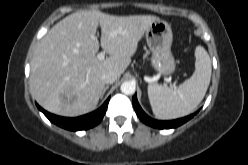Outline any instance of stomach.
I'll return each mask as SVG.
<instances>
[{"instance_id":"0dacf381","label":"stomach","mask_w":248,"mask_h":165,"mask_svg":"<svg viewBox=\"0 0 248 165\" xmlns=\"http://www.w3.org/2000/svg\"><path fill=\"white\" fill-rule=\"evenodd\" d=\"M146 42L152 52L151 64L161 75H171L175 70V60L171 52L173 34L170 25L156 20L146 30Z\"/></svg>"}]
</instances>
